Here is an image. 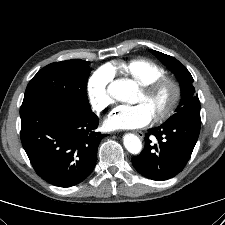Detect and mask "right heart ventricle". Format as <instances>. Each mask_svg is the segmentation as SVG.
I'll list each match as a JSON object with an SVG mask.
<instances>
[{
  "label": "right heart ventricle",
  "instance_id": "right-heart-ventricle-1",
  "mask_svg": "<svg viewBox=\"0 0 225 225\" xmlns=\"http://www.w3.org/2000/svg\"><path fill=\"white\" fill-rule=\"evenodd\" d=\"M110 68L114 70L113 67ZM118 68L140 85L165 76L161 66L146 58L132 59L119 64Z\"/></svg>",
  "mask_w": 225,
  "mask_h": 225
}]
</instances>
